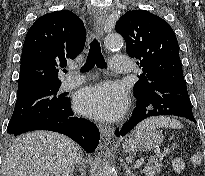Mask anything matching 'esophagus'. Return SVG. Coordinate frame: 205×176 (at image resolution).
<instances>
[{"mask_svg": "<svg viewBox=\"0 0 205 176\" xmlns=\"http://www.w3.org/2000/svg\"><path fill=\"white\" fill-rule=\"evenodd\" d=\"M106 17L107 14L104 10L97 11L95 15L94 26L96 29V34L99 38L103 36V28ZM99 130L104 141H109L114 135L113 129L110 126L99 124Z\"/></svg>", "mask_w": 205, "mask_h": 176, "instance_id": "1", "label": "esophagus"}]
</instances>
